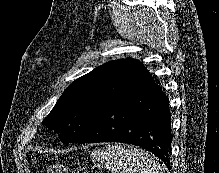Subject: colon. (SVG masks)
I'll list each match as a JSON object with an SVG mask.
<instances>
[{
    "instance_id": "1",
    "label": "colon",
    "mask_w": 219,
    "mask_h": 173,
    "mask_svg": "<svg viewBox=\"0 0 219 173\" xmlns=\"http://www.w3.org/2000/svg\"><path fill=\"white\" fill-rule=\"evenodd\" d=\"M45 173H89L85 168H71L70 166L60 163V162H52L50 163Z\"/></svg>"
}]
</instances>
